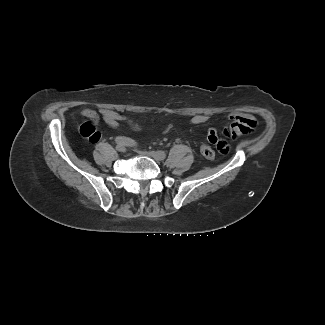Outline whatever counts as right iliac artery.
Instances as JSON below:
<instances>
[{"label":"right iliac artery","mask_w":325,"mask_h":325,"mask_svg":"<svg viewBox=\"0 0 325 325\" xmlns=\"http://www.w3.org/2000/svg\"><path fill=\"white\" fill-rule=\"evenodd\" d=\"M116 143H117V146H136L137 143L130 139V138H126V137H117L116 138Z\"/></svg>","instance_id":"right-iliac-artery-1"}]
</instances>
